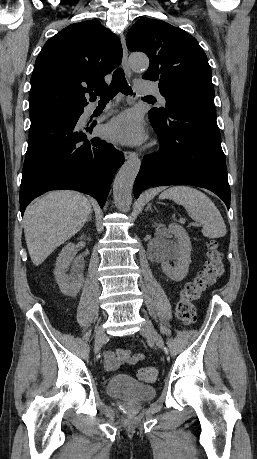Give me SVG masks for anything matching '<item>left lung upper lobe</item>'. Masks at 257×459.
Returning a JSON list of instances; mask_svg holds the SVG:
<instances>
[{
  "instance_id": "1",
  "label": "left lung upper lobe",
  "mask_w": 257,
  "mask_h": 459,
  "mask_svg": "<svg viewBox=\"0 0 257 459\" xmlns=\"http://www.w3.org/2000/svg\"><path fill=\"white\" fill-rule=\"evenodd\" d=\"M126 44L148 55L143 78L158 81L166 99L165 108H153L149 115L162 118L186 104L214 103L212 71L193 36L162 20L142 18L127 33Z\"/></svg>"
}]
</instances>
